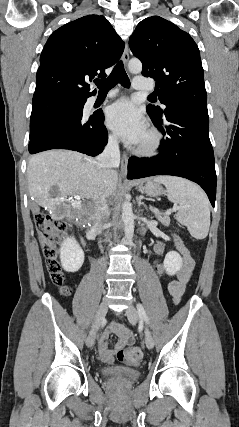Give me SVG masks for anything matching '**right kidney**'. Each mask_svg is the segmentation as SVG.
<instances>
[{
  "label": "right kidney",
  "mask_w": 239,
  "mask_h": 427,
  "mask_svg": "<svg viewBox=\"0 0 239 427\" xmlns=\"http://www.w3.org/2000/svg\"><path fill=\"white\" fill-rule=\"evenodd\" d=\"M60 260L67 272H77L84 263V252L74 237L64 238L60 247Z\"/></svg>",
  "instance_id": "obj_1"
}]
</instances>
